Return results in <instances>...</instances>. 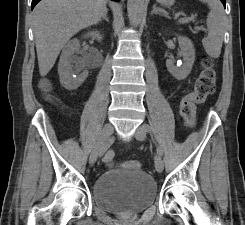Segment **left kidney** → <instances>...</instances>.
<instances>
[{
  "label": "left kidney",
  "mask_w": 245,
  "mask_h": 225,
  "mask_svg": "<svg viewBox=\"0 0 245 225\" xmlns=\"http://www.w3.org/2000/svg\"><path fill=\"white\" fill-rule=\"evenodd\" d=\"M180 51L178 56L183 58L181 65H175L173 58L166 60L168 71L178 80L185 79L191 72L195 61V49L192 41L184 36H178Z\"/></svg>",
  "instance_id": "5707ae66"
}]
</instances>
